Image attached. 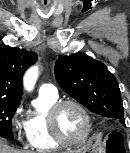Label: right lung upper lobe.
<instances>
[{"label": "right lung upper lobe", "instance_id": "obj_1", "mask_svg": "<svg viewBox=\"0 0 130 153\" xmlns=\"http://www.w3.org/2000/svg\"><path fill=\"white\" fill-rule=\"evenodd\" d=\"M36 61L37 55L32 51L0 45V100L20 102L22 76Z\"/></svg>", "mask_w": 130, "mask_h": 153}]
</instances>
